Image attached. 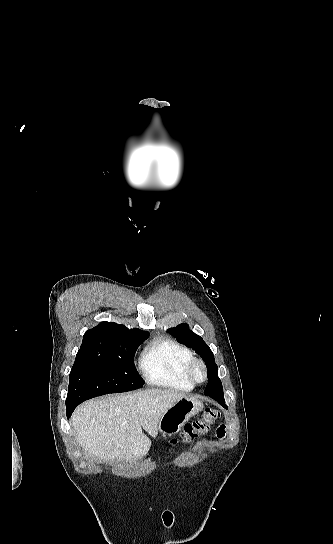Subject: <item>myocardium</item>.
<instances>
[{
	"label": "myocardium",
	"mask_w": 333,
	"mask_h": 544,
	"mask_svg": "<svg viewBox=\"0 0 333 544\" xmlns=\"http://www.w3.org/2000/svg\"><path fill=\"white\" fill-rule=\"evenodd\" d=\"M196 368H200L202 370L203 376L201 380H198L195 377L194 372ZM184 376L191 385L196 386L204 383L207 380L208 370L205 363L201 359L192 358L184 368Z\"/></svg>",
	"instance_id": "f54148a6"
}]
</instances>
